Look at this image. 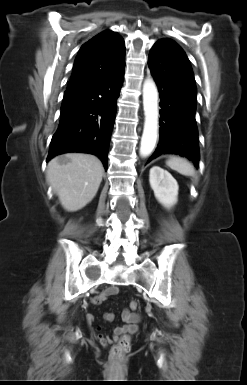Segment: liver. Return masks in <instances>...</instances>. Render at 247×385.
Instances as JSON below:
<instances>
[{"label": "liver", "mask_w": 247, "mask_h": 385, "mask_svg": "<svg viewBox=\"0 0 247 385\" xmlns=\"http://www.w3.org/2000/svg\"><path fill=\"white\" fill-rule=\"evenodd\" d=\"M103 172V165L97 157L68 153L48 163L46 178L63 208L74 212L95 197Z\"/></svg>", "instance_id": "6515ba94"}]
</instances>
